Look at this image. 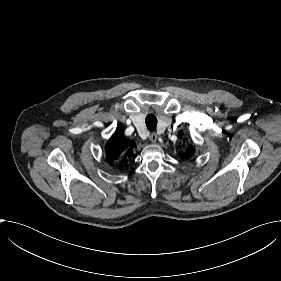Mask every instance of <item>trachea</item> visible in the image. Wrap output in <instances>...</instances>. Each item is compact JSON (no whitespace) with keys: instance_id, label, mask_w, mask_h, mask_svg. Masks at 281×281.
<instances>
[{"instance_id":"1","label":"trachea","mask_w":281,"mask_h":281,"mask_svg":"<svg viewBox=\"0 0 281 281\" xmlns=\"http://www.w3.org/2000/svg\"><path fill=\"white\" fill-rule=\"evenodd\" d=\"M148 130L154 131L157 127V118L153 114H149L145 119Z\"/></svg>"}]
</instances>
